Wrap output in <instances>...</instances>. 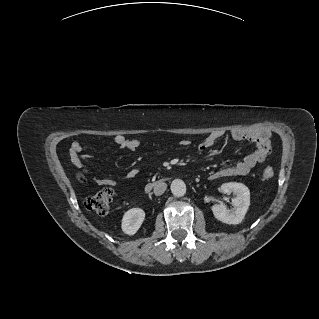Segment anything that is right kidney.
<instances>
[{
	"label": "right kidney",
	"instance_id": "obj_1",
	"mask_svg": "<svg viewBox=\"0 0 319 319\" xmlns=\"http://www.w3.org/2000/svg\"><path fill=\"white\" fill-rule=\"evenodd\" d=\"M145 218V212L141 208H132L125 212L122 218V231L128 235H134Z\"/></svg>",
	"mask_w": 319,
	"mask_h": 319
}]
</instances>
